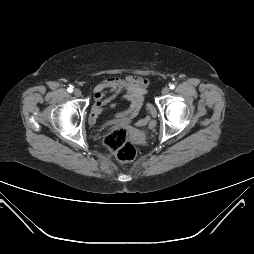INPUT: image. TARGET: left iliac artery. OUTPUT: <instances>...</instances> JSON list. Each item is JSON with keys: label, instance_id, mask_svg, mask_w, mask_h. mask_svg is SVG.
<instances>
[{"label": "left iliac artery", "instance_id": "left-iliac-artery-1", "mask_svg": "<svg viewBox=\"0 0 254 254\" xmlns=\"http://www.w3.org/2000/svg\"><path fill=\"white\" fill-rule=\"evenodd\" d=\"M175 88V86L172 84V85H170V89H174Z\"/></svg>", "mask_w": 254, "mask_h": 254}]
</instances>
